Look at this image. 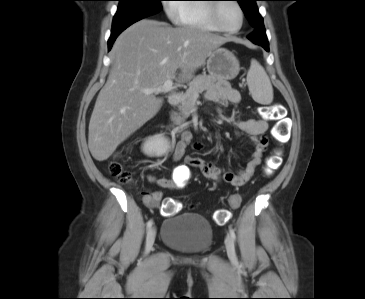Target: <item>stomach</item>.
<instances>
[{
    "label": "stomach",
    "mask_w": 365,
    "mask_h": 299,
    "mask_svg": "<svg viewBox=\"0 0 365 299\" xmlns=\"http://www.w3.org/2000/svg\"><path fill=\"white\" fill-rule=\"evenodd\" d=\"M207 70L209 75L214 78L231 80L238 75L240 65L231 51L225 48H217L208 56Z\"/></svg>",
    "instance_id": "obj_1"
}]
</instances>
